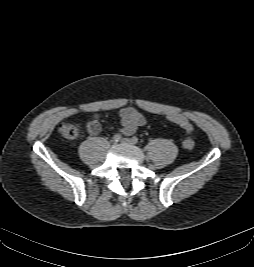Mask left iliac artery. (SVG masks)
I'll return each instance as SVG.
<instances>
[{"instance_id":"left-iliac-artery-1","label":"left iliac artery","mask_w":254,"mask_h":267,"mask_svg":"<svg viewBox=\"0 0 254 267\" xmlns=\"http://www.w3.org/2000/svg\"><path fill=\"white\" fill-rule=\"evenodd\" d=\"M131 140H132V142H133L134 144H137V143H138V138H137L136 136H133V137L131 138Z\"/></svg>"}]
</instances>
